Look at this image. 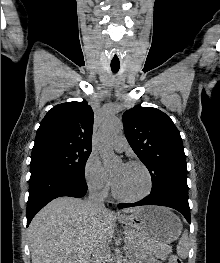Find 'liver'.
<instances>
[{"instance_id":"obj_1","label":"liver","mask_w":220,"mask_h":263,"mask_svg":"<svg viewBox=\"0 0 220 263\" xmlns=\"http://www.w3.org/2000/svg\"><path fill=\"white\" fill-rule=\"evenodd\" d=\"M140 208L123 212L133 213ZM115 228L110 210L92 211L85 200L56 198L36 214L28 227L32 263H95V258H103Z\"/></svg>"}]
</instances>
